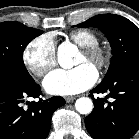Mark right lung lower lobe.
Masks as SVG:
<instances>
[{
	"instance_id": "obj_1",
	"label": "right lung lower lobe",
	"mask_w": 139,
	"mask_h": 139,
	"mask_svg": "<svg viewBox=\"0 0 139 139\" xmlns=\"http://www.w3.org/2000/svg\"><path fill=\"white\" fill-rule=\"evenodd\" d=\"M40 86L31 76L0 68V139H46L53 112L65 104L62 97L39 98Z\"/></svg>"
}]
</instances>
